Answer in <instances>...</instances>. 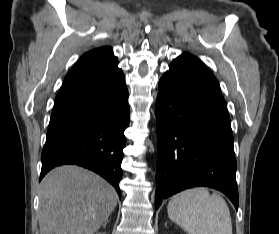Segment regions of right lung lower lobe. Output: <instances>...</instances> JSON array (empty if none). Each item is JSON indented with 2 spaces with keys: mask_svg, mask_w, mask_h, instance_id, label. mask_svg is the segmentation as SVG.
Segmentation results:
<instances>
[{
  "mask_svg": "<svg viewBox=\"0 0 279 234\" xmlns=\"http://www.w3.org/2000/svg\"><path fill=\"white\" fill-rule=\"evenodd\" d=\"M130 121L128 90L118 66L105 76L56 96L39 181L52 168L74 164L110 182L120 196L121 162Z\"/></svg>",
  "mask_w": 279,
  "mask_h": 234,
  "instance_id": "98d812e1",
  "label": "right lung lower lobe"
}]
</instances>
